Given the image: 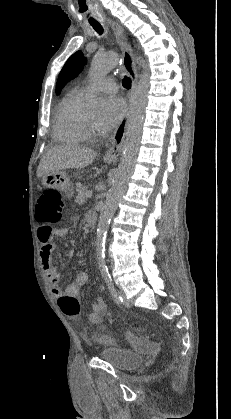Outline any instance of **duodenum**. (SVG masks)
I'll return each instance as SVG.
<instances>
[{
    "instance_id": "obj_1",
    "label": "duodenum",
    "mask_w": 231,
    "mask_h": 419,
    "mask_svg": "<svg viewBox=\"0 0 231 419\" xmlns=\"http://www.w3.org/2000/svg\"><path fill=\"white\" fill-rule=\"evenodd\" d=\"M86 221L89 226L93 227L96 225L97 218L94 214H90L87 216Z\"/></svg>"
}]
</instances>
